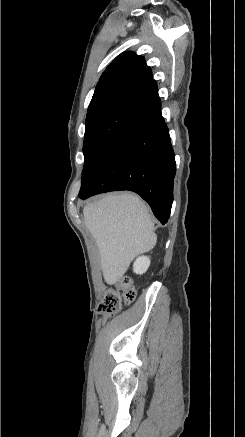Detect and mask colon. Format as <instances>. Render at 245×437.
Masks as SVG:
<instances>
[{"label":"colon","instance_id":"5ec220e1","mask_svg":"<svg viewBox=\"0 0 245 437\" xmlns=\"http://www.w3.org/2000/svg\"><path fill=\"white\" fill-rule=\"evenodd\" d=\"M135 295L132 281L128 277H123L119 280L116 288L105 294L99 310L108 315L116 314L121 309L122 302L131 303Z\"/></svg>","mask_w":245,"mask_h":437}]
</instances>
